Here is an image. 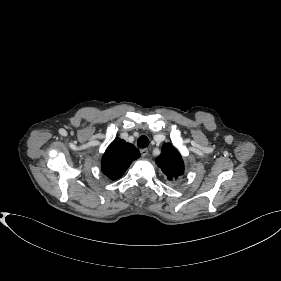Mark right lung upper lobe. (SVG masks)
<instances>
[{
    "instance_id": "cb5924a9",
    "label": "right lung upper lobe",
    "mask_w": 281,
    "mask_h": 281,
    "mask_svg": "<svg viewBox=\"0 0 281 281\" xmlns=\"http://www.w3.org/2000/svg\"><path fill=\"white\" fill-rule=\"evenodd\" d=\"M139 156L140 152L134 145L116 138L103 155L101 169L108 178L118 179Z\"/></svg>"
}]
</instances>
